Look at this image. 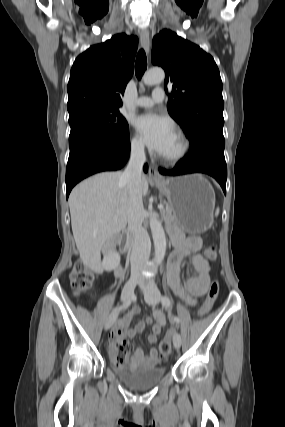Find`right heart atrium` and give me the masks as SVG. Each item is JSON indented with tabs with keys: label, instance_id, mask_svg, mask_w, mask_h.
<instances>
[{
	"label": "right heart atrium",
	"instance_id": "right-heart-atrium-1",
	"mask_svg": "<svg viewBox=\"0 0 285 427\" xmlns=\"http://www.w3.org/2000/svg\"><path fill=\"white\" fill-rule=\"evenodd\" d=\"M129 147L132 154L136 156H141L144 154V151H145L144 144L142 140L136 135L131 137L129 142Z\"/></svg>",
	"mask_w": 285,
	"mask_h": 427
}]
</instances>
